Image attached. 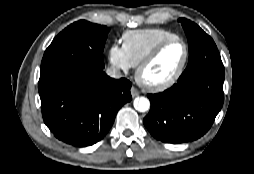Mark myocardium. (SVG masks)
<instances>
[{"instance_id":"1","label":"myocardium","mask_w":254,"mask_h":174,"mask_svg":"<svg viewBox=\"0 0 254 174\" xmlns=\"http://www.w3.org/2000/svg\"><path fill=\"white\" fill-rule=\"evenodd\" d=\"M173 42H181L184 46V57L183 60L177 69V71L168 79L161 81V82H148L143 79V72L144 70L152 63L154 60L158 57V55L161 53V51L169 44ZM189 46L187 42L181 38V37H173L166 39L164 41L159 42L157 45H155L151 51L142 59V61L138 64L137 69H136V80L137 82L143 86L144 88L158 92V91H163L171 86H173L182 76V74L185 71V68L187 66L188 60H189Z\"/></svg>"}]
</instances>
